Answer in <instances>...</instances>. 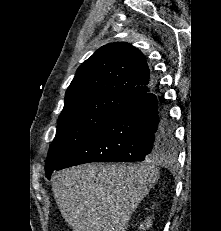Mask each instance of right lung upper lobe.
<instances>
[{"instance_id":"1","label":"right lung upper lobe","mask_w":221,"mask_h":231,"mask_svg":"<svg viewBox=\"0 0 221 231\" xmlns=\"http://www.w3.org/2000/svg\"><path fill=\"white\" fill-rule=\"evenodd\" d=\"M144 55L125 42L99 48L76 71L65 94L64 108L94 96H115L129 101L155 88Z\"/></svg>"}]
</instances>
